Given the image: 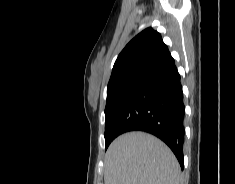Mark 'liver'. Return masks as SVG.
I'll list each match as a JSON object with an SVG mask.
<instances>
[{
  "mask_svg": "<svg viewBox=\"0 0 235 184\" xmlns=\"http://www.w3.org/2000/svg\"><path fill=\"white\" fill-rule=\"evenodd\" d=\"M104 180L105 184H182L174 154L145 132L122 134L110 144Z\"/></svg>",
  "mask_w": 235,
  "mask_h": 184,
  "instance_id": "6515ba94",
  "label": "liver"
}]
</instances>
